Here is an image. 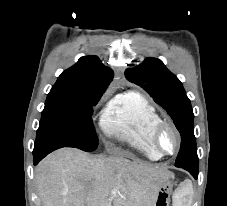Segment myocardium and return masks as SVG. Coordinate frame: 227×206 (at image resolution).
Wrapping results in <instances>:
<instances>
[{
  "mask_svg": "<svg viewBox=\"0 0 227 206\" xmlns=\"http://www.w3.org/2000/svg\"><path fill=\"white\" fill-rule=\"evenodd\" d=\"M166 130H170L173 133L176 140L175 149L171 153L165 152L160 146L161 136ZM150 141L152 148L161 156L175 155L179 151L181 146V136L178 129L172 123L164 120H162L161 122L154 126L151 132Z\"/></svg>",
  "mask_w": 227,
  "mask_h": 206,
  "instance_id": "f54148a6",
  "label": "myocardium"
}]
</instances>
